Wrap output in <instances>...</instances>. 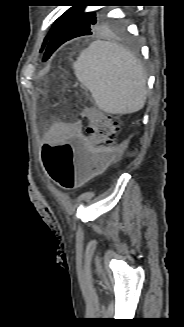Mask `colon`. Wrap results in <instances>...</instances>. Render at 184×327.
<instances>
[{
    "label": "colon",
    "instance_id": "5ec220e1",
    "mask_svg": "<svg viewBox=\"0 0 184 327\" xmlns=\"http://www.w3.org/2000/svg\"><path fill=\"white\" fill-rule=\"evenodd\" d=\"M85 116L89 124L76 146L69 142L46 143L42 151L49 176L65 190L80 187L105 168L115 153L111 145L120 130L119 120L94 108L86 109Z\"/></svg>",
    "mask_w": 184,
    "mask_h": 327
}]
</instances>
